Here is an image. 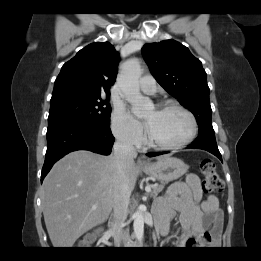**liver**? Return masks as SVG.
I'll use <instances>...</instances> for the list:
<instances>
[{"mask_svg": "<svg viewBox=\"0 0 261 261\" xmlns=\"http://www.w3.org/2000/svg\"><path fill=\"white\" fill-rule=\"evenodd\" d=\"M112 156L74 151L60 159L42 185L45 225L55 248H71L87 231L104 223L113 208L114 173ZM162 156L157 157V160ZM139 168H126L133 191ZM95 207V208H94Z\"/></svg>", "mask_w": 261, "mask_h": 261, "instance_id": "obj_1", "label": "liver"}]
</instances>
